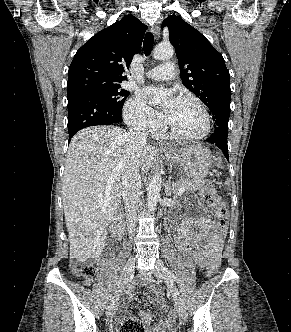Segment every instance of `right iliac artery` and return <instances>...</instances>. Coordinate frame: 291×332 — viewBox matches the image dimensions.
Returning a JSON list of instances; mask_svg holds the SVG:
<instances>
[{"mask_svg": "<svg viewBox=\"0 0 291 332\" xmlns=\"http://www.w3.org/2000/svg\"><path fill=\"white\" fill-rule=\"evenodd\" d=\"M118 288H119V285H118ZM118 288H117V289H118ZM117 289L115 290V293L117 292ZM114 297H115V296L112 297V300H111V301H113Z\"/></svg>", "mask_w": 291, "mask_h": 332, "instance_id": "82829eb1", "label": "right iliac artery"}]
</instances>
